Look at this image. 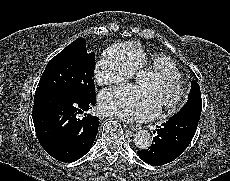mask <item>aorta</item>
<instances>
[{
	"mask_svg": "<svg viewBox=\"0 0 230 181\" xmlns=\"http://www.w3.org/2000/svg\"><path fill=\"white\" fill-rule=\"evenodd\" d=\"M134 141H135V144L138 148L146 149L152 143V136H151L150 132H148L147 130H139L135 134Z\"/></svg>",
	"mask_w": 230,
	"mask_h": 181,
	"instance_id": "aorta-1",
	"label": "aorta"
}]
</instances>
